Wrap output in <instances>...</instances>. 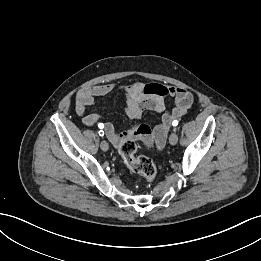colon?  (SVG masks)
Wrapping results in <instances>:
<instances>
[{
  "label": "colon",
  "instance_id": "1",
  "mask_svg": "<svg viewBox=\"0 0 261 261\" xmlns=\"http://www.w3.org/2000/svg\"><path fill=\"white\" fill-rule=\"evenodd\" d=\"M118 151L127 167L140 175L147 182H152L157 174V169L152 160L146 156H137V145L132 137L121 142Z\"/></svg>",
  "mask_w": 261,
  "mask_h": 261
}]
</instances>
